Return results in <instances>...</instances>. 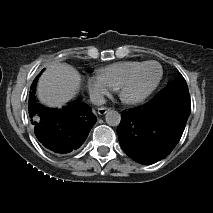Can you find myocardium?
<instances>
[{"mask_svg": "<svg viewBox=\"0 0 213 213\" xmlns=\"http://www.w3.org/2000/svg\"><path fill=\"white\" fill-rule=\"evenodd\" d=\"M156 65L158 67L159 70V74L158 77L154 83V85L143 95L136 97V98H128L125 96V88L132 82V80L135 78L136 74L145 66L147 65ZM162 76H163V70L161 65L156 62V61H144L142 63H140L137 67H135L129 74L128 76H126L122 82L120 83L119 87H118V95L120 97V99L125 103V104H129V105H135V104H139L141 102H143L144 100H146L155 90L156 88L159 86L161 80H162Z\"/></svg>", "mask_w": 213, "mask_h": 213, "instance_id": "obj_1", "label": "myocardium"}]
</instances>
